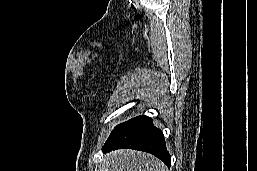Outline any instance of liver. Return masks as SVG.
I'll return each instance as SVG.
<instances>
[{"label": "liver", "mask_w": 257, "mask_h": 171, "mask_svg": "<svg viewBox=\"0 0 257 171\" xmlns=\"http://www.w3.org/2000/svg\"><path fill=\"white\" fill-rule=\"evenodd\" d=\"M109 171H168L156 157L136 150L123 149L107 156Z\"/></svg>", "instance_id": "1"}]
</instances>
